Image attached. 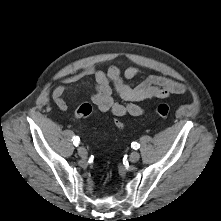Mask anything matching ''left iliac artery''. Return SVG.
Listing matches in <instances>:
<instances>
[{
	"instance_id": "left-iliac-artery-1",
	"label": "left iliac artery",
	"mask_w": 221,
	"mask_h": 221,
	"mask_svg": "<svg viewBox=\"0 0 221 221\" xmlns=\"http://www.w3.org/2000/svg\"><path fill=\"white\" fill-rule=\"evenodd\" d=\"M131 146H132L133 149H135V150H137V149L140 148V145H139L137 142H133V143L131 144Z\"/></svg>"
}]
</instances>
